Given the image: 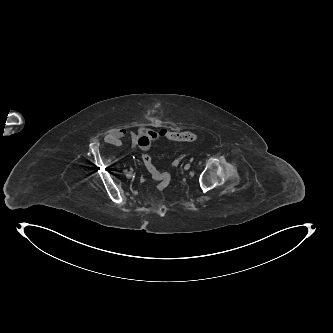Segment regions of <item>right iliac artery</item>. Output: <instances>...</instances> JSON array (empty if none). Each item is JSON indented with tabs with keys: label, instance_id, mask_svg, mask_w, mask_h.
<instances>
[{
	"label": "right iliac artery",
	"instance_id": "right-iliac-artery-1",
	"mask_svg": "<svg viewBox=\"0 0 333 333\" xmlns=\"http://www.w3.org/2000/svg\"><path fill=\"white\" fill-rule=\"evenodd\" d=\"M124 172H125V173H130V172H128V170H125Z\"/></svg>",
	"mask_w": 333,
	"mask_h": 333
}]
</instances>
